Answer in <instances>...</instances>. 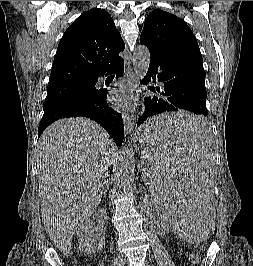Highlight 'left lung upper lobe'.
<instances>
[{
  "label": "left lung upper lobe",
  "instance_id": "5c2ea615",
  "mask_svg": "<svg viewBox=\"0 0 253 266\" xmlns=\"http://www.w3.org/2000/svg\"><path fill=\"white\" fill-rule=\"evenodd\" d=\"M140 43L152 51L183 53L202 61L197 40L188 25L163 10H154L146 17Z\"/></svg>",
  "mask_w": 253,
  "mask_h": 266
}]
</instances>
